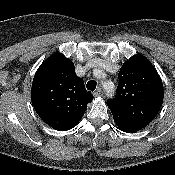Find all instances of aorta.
<instances>
[{
  "label": "aorta",
  "instance_id": "obj_1",
  "mask_svg": "<svg viewBox=\"0 0 175 175\" xmlns=\"http://www.w3.org/2000/svg\"><path fill=\"white\" fill-rule=\"evenodd\" d=\"M108 95H112V93L108 91Z\"/></svg>",
  "mask_w": 175,
  "mask_h": 175
}]
</instances>
